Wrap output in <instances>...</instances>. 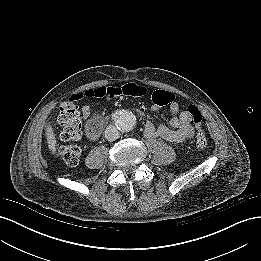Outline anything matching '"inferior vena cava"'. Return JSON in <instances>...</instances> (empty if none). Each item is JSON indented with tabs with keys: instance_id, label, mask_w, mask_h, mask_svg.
I'll use <instances>...</instances> for the list:
<instances>
[{
	"instance_id": "1",
	"label": "inferior vena cava",
	"mask_w": 261,
	"mask_h": 261,
	"mask_svg": "<svg viewBox=\"0 0 261 261\" xmlns=\"http://www.w3.org/2000/svg\"><path fill=\"white\" fill-rule=\"evenodd\" d=\"M105 138L112 142L119 138V131L115 126L109 125L105 130Z\"/></svg>"
}]
</instances>
